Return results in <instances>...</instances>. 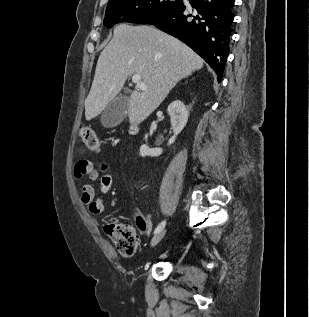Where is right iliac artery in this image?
Segmentation results:
<instances>
[{"label": "right iliac artery", "instance_id": "82829eb1", "mask_svg": "<svg viewBox=\"0 0 309 317\" xmlns=\"http://www.w3.org/2000/svg\"><path fill=\"white\" fill-rule=\"evenodd\" d=\"M165 224H166V221H165V220L162 221V222L155 228L154 234H157L158 232H160V231L164 228Z\"/></svg>", "mask_w": 309, "mask_h": 317}]
</instances>
